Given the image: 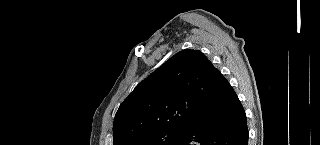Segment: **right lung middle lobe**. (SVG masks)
I'll use <instances>...</instances> for the list:
<instances>
[{"label": "right lung middle lobe", "mask_w": 320, "mask_h": 145, "mask_svg": "<svg viewBox=\"0 0 320 145\" xmlns=\"http://www.w3.org/2000/svg\"><path fill=\"white\" fill-rule=\"evenodd\" d=\"M184 129L181 127L158 130L141 137L130 145H173L183 134Z\"/></svg>", "instance_id": "dd1d6c3e"}]
</instances>
